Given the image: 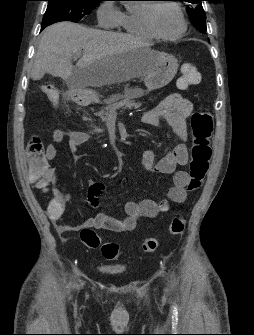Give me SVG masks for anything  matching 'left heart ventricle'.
I'll list each match as a JSON object with an SVG mask.
<instances>
[{
    "instance_id": "left-heart-ventricle-1",
    "label": "left heart ventricle",
    "mask_w": 254,
    "mask_h": 335,
    "mask_svg": "<svg viewBox=\"0 0 254 335\" xmlns=\"http://www.w3.org/2000/svg\"><path fill=\"white\" fill-rule=\"evenodd\" d=\"M157 29L165 35H173L181 29L178 13L170 6H160L155 13Z\"/></svg>"
}]
</instances>
